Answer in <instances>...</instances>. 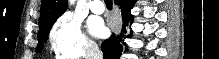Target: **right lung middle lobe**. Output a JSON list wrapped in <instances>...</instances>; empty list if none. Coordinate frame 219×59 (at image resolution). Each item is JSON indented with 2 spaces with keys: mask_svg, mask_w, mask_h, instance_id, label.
I'll return each instance as SVG.
<instances>
[{
  "mask_svg": "<svg viewBox=\"0 0 219 59\" xmlns=\"http://www.w3.org/2000/svg\"><path fill=\"white\" fill-rule=\"evenodd\" d=\"M52 25L53 24L48 25L47 27L39 28L38 45L36 47L35 52H40L43 49V43L47 41V37H48L49 31H50Z\"/></svg>",
  "mask_w": 219,
  "mask_h": 59,
  "instance_id": "1",
  "label": "right lung middle lobe"
}]
</instances>
